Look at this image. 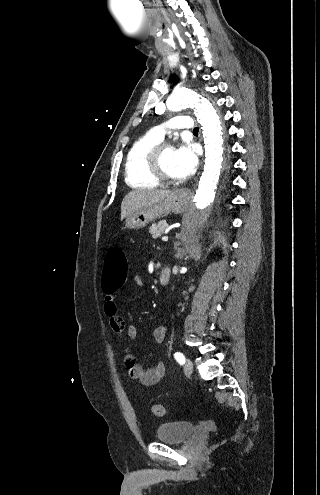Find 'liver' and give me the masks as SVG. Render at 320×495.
Wrapping results in <instances>:
<instances>
[{"label": "liver", "mask_w": 320, "mask_h": 495, "mask_svg": "<svg viewBox=\"0 0 320 495\" xmlns=\"http://www.w3.org/2000/svg\"><path fill=\"white\" fill-rule=\"evenodd\" d=\"M171 191L169 190H132L123 199L121 203V220L127 217L130 213L153 205L167 195Z\"/></svg>", "instance_id": "liver-1"}]
</instances>
